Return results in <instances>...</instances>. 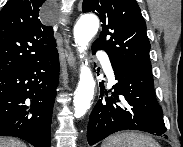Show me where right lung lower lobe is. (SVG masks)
<instances>
[{
    "label": "right lung lower lobe",
    "instance_id": "1",
    "mask_svg": "<svg viewBox=\"0 0 183 147\" xmlns=\"http://www.w3.org/2000/svg\"><path fill=\"white\" fill-rule=\"evenodd\" d=\"M59 57L51 56L0 75V136L50 147Z\"/></svg>",
    "mask_w": 183,
    "mask_h": 147
}]
</instances>
